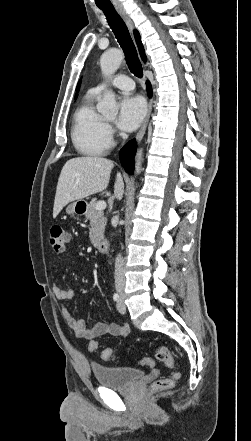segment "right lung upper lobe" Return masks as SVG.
<instances>
[{
	"mask_svg": "<svg viewBox=\"0 0 251 441\" xmlns=\"http://www.w3.org/2000/svg\"><path fill=\"white\" fill-rule=\"evenodd\" d=\"M134 36H135V40H136V43H137L139 51H140L141 58L143 59L144 62H146V55H145L144 48L141 43V39H140V35H139L138 31H136V30L134 31ZM79 86H80V81L77 85L76 91L79 90ZM76 97H77V94H76L75 98Z\"/></svg>",
	"mask_w": 251,
	"mask_h": 441,
	"instance_id": "right-lung-upper-lobe-1",
	"label": "right lung upper lobe"
}]
</instances>
